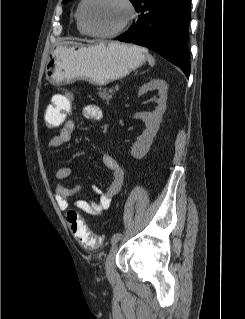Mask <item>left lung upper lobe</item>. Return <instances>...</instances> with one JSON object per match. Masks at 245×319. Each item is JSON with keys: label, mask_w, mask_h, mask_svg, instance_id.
<instances>
[{"label": "left lung upper lobe", "mask_w": 245, "mask_h": 319, "mask_svg": "<svg viewBox=\"0 0 245 319\" xmlns=\"http://www.w3.org/2000/svg\"><path fill=\"white\" fill-rule=\"evenodd\" d=\"M69 1H70V0H64L63 3L65 4V3L69 2ZM130 1H131V2L133 3V5L135 6L138 0H130Z\"/></svg>", "instance_id": "5c2ea615"}]
</instances>
